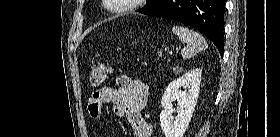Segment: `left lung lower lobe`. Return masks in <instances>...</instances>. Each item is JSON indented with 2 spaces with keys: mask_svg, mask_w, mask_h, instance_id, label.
I'll return each mask as SVG.
<instances>
[{
  "mask_svg": "<svg viewBox=\"0 0 280 137\" xmlns=\"http://www.w3.org/2000/svg\"><path fill=\"white\" fill-rule=\"evenodd\" d=\"M224 11L225 0H163L143 14L176 20L197 29L215 44L222 56Z\"/></svg>",
  "mask_w": 280,
  "mask_h": 137,
  "instance_id": "obj_1",
  "label": "left lung lower lobe"
}]
</instances>
